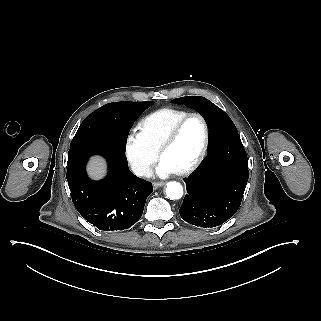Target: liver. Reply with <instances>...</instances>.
Instances as JSON below:
<instances>
[{
  "mask_svg": "<svg viewBox=\"0 0 321 321\" xmlns=\"http://www.w3.org/2000/svg\"><path fill=\"white\" fill-rule=\"evenodd\" d=\"M90 170H91L92 174H94V175L100 174L101 171H102L101 161L100 160L94 161V163L92 164Z\"/></svg>",
  "mask_w": 321,
  "mask_h": 321,
  "instance_id": "1",
  "label": "liver"
}]
</instances>
